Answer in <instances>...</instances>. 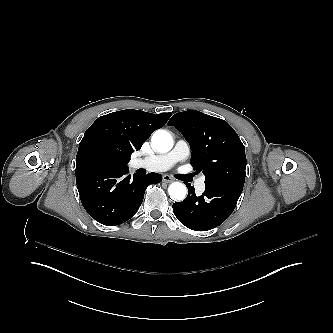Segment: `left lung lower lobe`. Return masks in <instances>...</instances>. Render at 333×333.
Listing matches in <instances>:
<instances>
[{
  "mask_svg": "<svg viewBox=\"0 0 333 333\" xmlns=\"http://www.w3.org/2000/svg\"><path fill=\"white\" fill-rule=\"evenodd\" d=\"M188 196L173 204L176 218L195 231H207L219 226L234 211L242 189L225 185H206L204 194L196 196L191 184L185 183Z\"/></svg>",
  "mask_w": 333,
  "mask_h": 333,
  "instance_id": "obj_1",
  "label": "left lung lower lobe"
}]
</instances>
